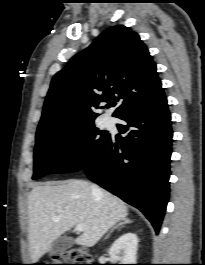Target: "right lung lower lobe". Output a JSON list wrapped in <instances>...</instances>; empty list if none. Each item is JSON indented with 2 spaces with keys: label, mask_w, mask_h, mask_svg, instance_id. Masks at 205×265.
<instances>
[{
  "label": "right lung lower lobe",
  "mask_w": 205,
  "mask_h": 265,
  "mask_svg": "<svg viewBox=\"0 0 205 265\" xmlns=\"http://www.w3.org/2000/svg\"><path fill=\"white\" fill-rule=\"evenodd\" d=\"M121 140L110 136L84 168L88 178L141 210L159 232L169 196L171 116L163 89L118 117Z\"/></svg>",
  "instance_id": "1"
}]
</instances>
